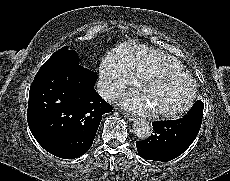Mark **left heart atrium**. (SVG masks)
Masks as SVG:
<instances>
[{
	"label": "left heart atrium",
	"instance_id": "obj_1",
	"mask_svg": "<svg viewBox=\"0 0 230 181\" xmlns=\"http://www.w3.org/2000/svg\"><path fill=\"white\" fill-rule=\"evenodd\" d=\"M122 105L138 113H146L153 109L144 97L143 93L139 94L136 92H132L124 96Z\"/></svg>",
	"mask_w": 230,
	"mask_h": 181
}]
</instances>
